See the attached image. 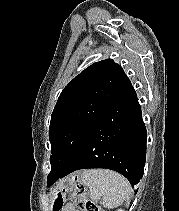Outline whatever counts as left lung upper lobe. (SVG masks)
I'll list each match as a JSON object with an SVG mask.
<instances>
[{
    "label": "left lung upper lobe",
    "mask_w": 179,
    "mask_h": 211,
    "mask_svg": "<svg viewBox=\"0 0 179 211\" xmlns=\"http://www.w3.org/2000/svg\"><path fill=\"white\" fill-rule=\"evenodd\" d=\"M112 59L96 62L77 75L61 92L51 115V172L63 173L83 148L98 118L128 82Z\"/></svg>",
    "instance_id": "left-lung-upper-lobe-1"
}]
</instances>
